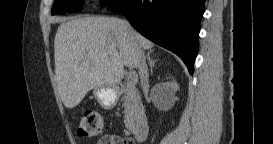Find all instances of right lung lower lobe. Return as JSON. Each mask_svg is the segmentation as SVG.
I'll return each instance as SVG.
<instances>
[{
	"mask_svg": "<svg viewBox=\"0 0 273 144\" xmlns=\"http://www.w3.org/2000/svg\"><path fill=\"white\" fill-rule=\"evenodd\" d=\"M205 0H112L109 8L124 14L146 38L177 54L193 74Z\"/></svg>",
	"mask_w": 273,
	"mask_h": 144,
	"instance_id": "right-lung-lower-lobe-1",
	"label": "right lung lower lobe"
}]
</instances>
